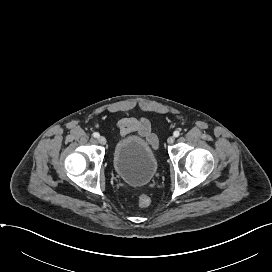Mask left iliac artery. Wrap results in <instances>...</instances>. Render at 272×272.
I'll return each mask as SVG.
<instances>
[{
	"label": "left iliac artery",
	"mask_w": 272,
	"mask_h": 272,
	"mask_svg": "<svg viewBox=\"0 0 272 272\" xmlns=\"http://www.w3.org/2000/svg\"><path fill=\"white\" fill-rule=\"evenodd\" d=\"M174 137H178L180 135V132L178 130L174 131L173 133Z\"/></svg>",
	"instance_id": "obj_1"
}]
</instances>
